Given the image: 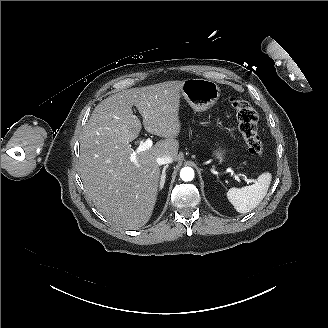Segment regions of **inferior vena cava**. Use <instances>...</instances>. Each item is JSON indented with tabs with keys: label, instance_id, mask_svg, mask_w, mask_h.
Segmentation results:
<instances>
[{
	"label": "inferior vena cava",
	"instance_id": "1",
	"mask_svg": "<svg viewBox=\"0 0 328 328\" xmlns=\"http://www.w3.org/2000/svg\"><path fill=\"white\" fill-rule=\"evenodd\" d=\"M156 162L158 165L169 164V163L173 162V158L168 155H163V156L157 157Z\"/></svg>",
	"mask_w": 328,
	"mask_h": 328
}]
</instances>
